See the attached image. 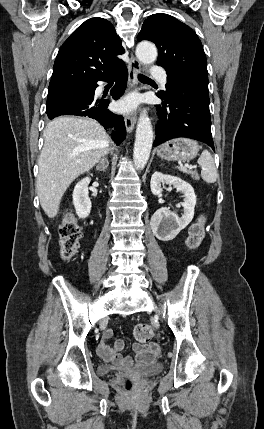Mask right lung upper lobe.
Here are the masks:
<instances>
[{
    "label": "right lung upper lobe",
    "instance_id": "cb5924a9",
    "mask_svg": "<svg viewBox=\"0 0 264 429\" xmlns=\"http://www.w3.org/2000/svg\"><path fill=\"white\" fill-rule=\"evenodd\" d=\"M124 48L114 26L104 18L85 21L62 45L49 88L91 84L115 68Z\"/></svg>",
    "mask_w": 264,
    "mask_h": 429
}]
</instances>
